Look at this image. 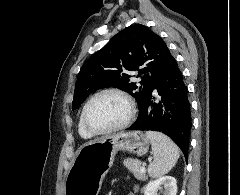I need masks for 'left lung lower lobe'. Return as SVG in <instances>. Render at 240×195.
Returning a JSON list of instances; mask_svg holds the SVG:
<instances>
[{
	"label": "left lung lower lobe",
	"mask_w": 240,
	"mask_h": 195,
	"mask_svg": "<svg viewBox=\"0 0 240 195\" xmlns=\"http://www.w3.org/2000/svg\"><path fill=\"white\" fill-rule=\"evenodd\" d=\"M158 93L157 101L152 95ZM190 102L183 75L172 57L148 91L137 120L127 130L159 131L169 136L188 155L192 126Z\"/></svg>",
	"instance_id": "left-lung-lower-lobe-1"
}]
</instances>
